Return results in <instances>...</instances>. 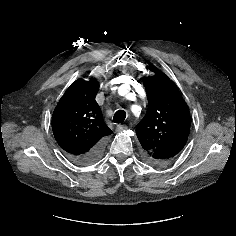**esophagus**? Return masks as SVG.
<instances>
[{
  "label": "esophagus",
  "instance_id": "obj_1",
  "mask_svg": "<svg viewBox=\"0 0 236 236\" xmlns=\"http://www.w3.org/2000/svg\"><path fill=\"white\" fill-rule=\"evenodd\" d=\"M127 129V126L126 125H117V127H116V130L118 131V132H121V131H124V130H126Z\"/></svg>",
  "mask_w": 236,
  "mask_h": 236
}]
</instances>
